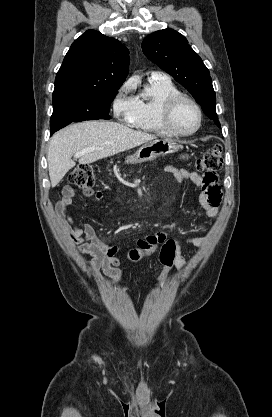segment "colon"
Returning <instances> with one entry per match:
<instances>
[{
    "label": "colon",
    "mask_w": 272,
    "mask_h": 417,
    "mask_svg": "<svg viewBox=\"0 0 272 417\" xmlns=\"http://www.w3.org/2000/svg\"><path fill=\"white\" fill-rule=\"evenodd\" d=\"M223 151L220 145H215L200 157L194 164L197 171L205 174H213L222 167ZM69 182L82 188L91 187L95 182V168L90 164H80L69 175ZM177 244L175 240L167 238L163 241H149L136 244L128 253V259L132 263H138L155 254H158L162 265V271L157 283L165 281L172 269L176 257Z\"/></svg>",
    "instance_id": "obj_1"
}]
</instances>
